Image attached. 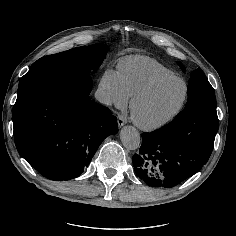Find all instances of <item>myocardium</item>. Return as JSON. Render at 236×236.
Here are the masks:
<instances>
[{"instance_id":"f54148a6","label":"myocardium","mask_w":236,"mask_h":236,"mask_svg":"<svg viewBox=\"0 0 236 236\" xmlns=\"http://www.w3.org/2000/svg\"><path fill=\"white\" fill-rule=\"evenodd\" d=\"M171 81H180L183 86H184V92L181 98L180 103L178 104V106L166 117H164L161 120L155 121V122H144L142 120H140L135 113V106L136 103L143 97H145L146 95H148L150 92H152L155 88H157L158 86L164 84V83H168ZM189 94V87L187 82L182 79L181 77L178 76H167V77H161V78H157L153 81H151L150 83H148L147 85H145L144 87H142L141 89H139L138 91H136L131 99H130V103H129V116L130 119L132 121V123L138 127L139 129L143 130V131H155L158 130L166 125H168L169 123H171L183 110L186 101H187V97Z\"/></svg>"}]
</instances>
